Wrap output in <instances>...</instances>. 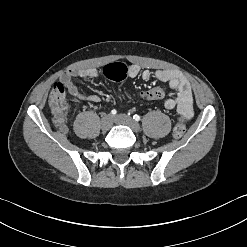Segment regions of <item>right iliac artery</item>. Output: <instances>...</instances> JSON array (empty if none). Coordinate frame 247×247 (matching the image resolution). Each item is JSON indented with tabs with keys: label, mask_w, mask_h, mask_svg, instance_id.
<instances>
[{
	"label": "right iliac artery",
	"mask_w": 247,
	"mask_h": 247,
	"mask_svg": "<svg viewBox=\"0 0 247 247\" xmlns=\"http://www.w3.org/2000/svg\"><path fill=\"white\" fill-rule=\"evenodd\" d=\"M116 113H117V111H116L115 109H113V110L111 111V114H112V115H116Z\"/></svg>",
	"instance_id": "right-iliac-artery-1"
}]
</instances>
